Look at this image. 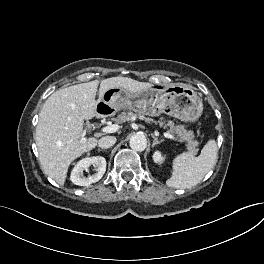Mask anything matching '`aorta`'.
Masks as SVG:
<instances>
[{
    "instance_id": "1",
    "label": "aorta",
    "mask_w": 264,
    "mask_h": 264,
    "mask_svg": "<svg viewBox=\"0 0 264 264\" xmlns=\"http://www.w3.org/2000/svg\"><path fill=\"white\" fill-rule=\"evenodd\" d=\"M129 145L135 151H144L147 147V140L143 134H135L130 138Z\"/></svg>"
}]
</instances>
